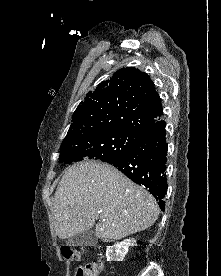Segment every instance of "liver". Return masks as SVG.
I'll list each match as a JSON object with an SVG mask.
<instances>
[{"instance_id": "6515ba94", "label": "liver", "mask_w": 221, "mask_h": 276, "mask_svg": "<svg viewBox=\"0 0 221 276\" xmlns=\"http://www.w3.org/2000/svg\"><path fill=\"white\" fill-rule=\"evenodd\" d=\"M55 228L60 239L91 229L104 242L151 227L158 219L155 198L114 167L83 161L68 168L54 195Z\"/></svg>"}]
</instances>
